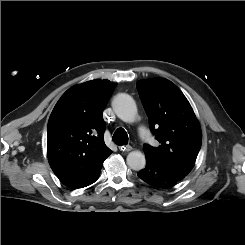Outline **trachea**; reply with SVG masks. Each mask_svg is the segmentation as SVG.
I'll use <instances>...</instances> for the list:
<instances>
[{"mask_svg":"<svg viewBox=\"0 0 245 245\" xmlns=\"http://www.w3.org/2000/svg\"><path fill=\"white\" fill-rule=\"evenodd\" d=\"M112 140L117 145H126L128 143L127 132L123 128H118L113 134Z\"/></svg>","mask_w":245,"mask_h":245,"instance_id":"3493384b","label":"trachea"}]
</instances>
